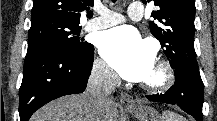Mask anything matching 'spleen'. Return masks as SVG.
I'll return each mask as SVG.
<instances>
[{"label":"spleen","instance_id":"3e777b00","mask_svg":"<svg viewBox=\"0 0 217 121\" xmlns=\"http://www.w3.org/2000/svg\"><path fill=\"white\" fill-rule=\"evenodd\" d=\"M163 120L164 121H186L185 118L173 112H165L163 114Z\"/></svg>","mask_w":217,"mask_h":121}]
</instances>
